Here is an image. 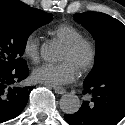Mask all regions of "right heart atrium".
I'll list each match as a JSON object with an SVG mask.
<instances>
[{"label":"right heart atrium","instance_id":"1","mask_svg":"<svg viewBox=\"0 0 125 125\" xmlns=\"http://www.w3.org/2000/svg\"><path fill=\"white\" fill-rule=\"evenodd\" d=\"M40 37L36 33H30L23 43V54L32 62L39 58Z\"/></svg>","mask_w":125,"mask_h":125}]
</instances>
